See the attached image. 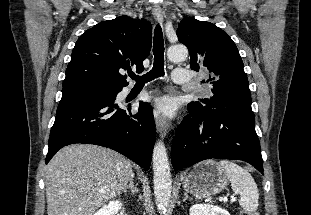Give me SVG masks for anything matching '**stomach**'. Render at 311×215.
<instances>
[{
    "label": "stomach",
    "instance_id": "obj_1",
    "mask_svg": "<svg viewBox=\"0 0 311 215\" xmlns=\"http://www.w3.org/2000/svg\"><path fill=\"white\" fill-rule=\"evenodd\" d=\"M228 178L214 160L197 164L183 179V188L196 198H210L221 192L227 185Z\"/></svg>",
    "mask_w": 311,
    "mask_h": 215
}]
</instances>
